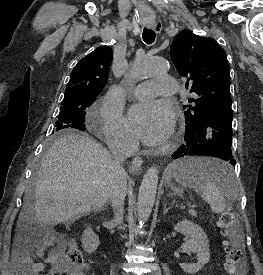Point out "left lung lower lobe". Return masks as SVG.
I'll return each mask as SVG.
<instances>
[{"instance_id": "obj_1", "label": "left lung lower lobe", "mask_w": 263, "mask_h": 275, "mask_svg": "<svg viewBox=\"0 0 263 275\" xmlns=\"http://www.w3.org/2000/svg\"><path fill=\"white\" fill-rule=\"evenodd\" d=\"M232 119L231 105L216 108L198 126L186 128L184 143L173 153L172 158L212 156L235 166L231 151Z\"/></svg>"}]
</instances>
